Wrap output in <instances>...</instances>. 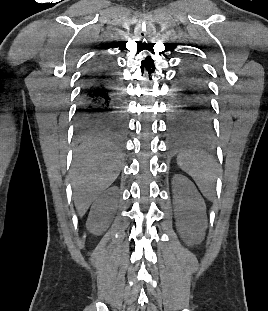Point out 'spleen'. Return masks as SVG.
Wrapping results in <instances>:
<instances>
[{
	"instance_id": "3e777b00",
	"label": "spleen",
	"mask_w": 268,
	"mask_h": 311,
	"mask_svg": "<svg viewBox=\"0 0 268 311\" xmlns=\"http://www.w3.org/2000/svg\"><path fill=\"white\" fill-rule=\"evenodd\" d=\"M177 163L194 179L202 194L211 199L214 194L216 177L213 160L202 152L189 151L179 154Z\"/></svg>"
}]
</instances>
